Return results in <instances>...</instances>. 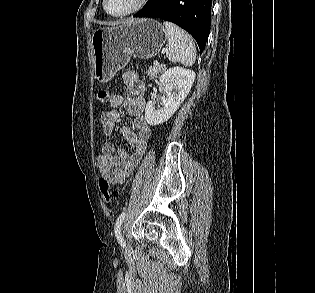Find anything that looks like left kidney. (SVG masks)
Masks as SVG:
<instances>
[{
    "mask_svg": "<svg viewBox=\"0 0 315 293\" xmlns=\"http://www.w3.org/2000/svg\"><path fill=\"white\" fill-rule=\"evenodd\" d=\"M194 80L195 72L183 67H172L162 74L159 78V89L164 91L162 107L156 110L155 101H148L145 109L147 123L156 126L169 120L187 97Z\"/></svg>",
    "mask_w": 315,
    "mask_h": 293,
    "instance_id": "1",
    "label": "left kidney"
}]
</instances>
